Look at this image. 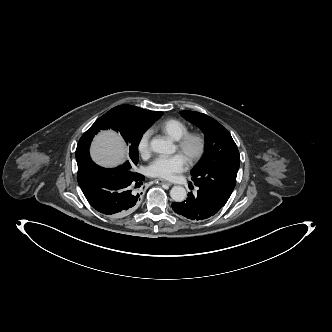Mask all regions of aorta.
<instances>
[{
	"label": "aorta",
	"mask_w": 332,
	"mask_h": 332,
	"mask_svg": "<svg viewBox=\"0 0 332 332\" xmlns=\"http://www.w3.org/2000/svg\"><path fill=\"white\" fill-rule=\"evenodd\" d=\"M150 145L156 153H170L172 150V144L163 138H153ZM170 196L175 202L179 203L186 199L187 193L184 187L174 186L170 191Z\"/></svg>",
	"instance_id": "aorta-1"
}]
</instances>
